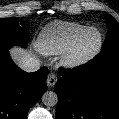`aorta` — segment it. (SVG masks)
Listing matches in <instances>:
<instances>
[{
  "mask_svg": "<svg viewBox=\"0 0 119 119\" xmlns=\"http://www.w3.org/2000/svg\"><path fill=\"white\" fill-rule=\"evenodd\" d=\"M42 102L47 107H53L58 103V96L53 91H47L42 96Z\"/></svg>",
  "mask_w": 119,
  "mask_h": 119,
  "instance_id": "1",
  "label": "aorta"
}]
</instances>
